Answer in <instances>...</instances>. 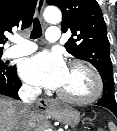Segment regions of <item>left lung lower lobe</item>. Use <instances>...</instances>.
Returning a JSON list of instances; mask_svg holds the SVG:
<instances>
[{"label": "left lung lower lobe", "instance_id": "0a47b994", "mask_svg": "<svg viewBox=\"0 0 117 131\" xmlns=\"http://www.w3.org/2000/svg\"><path fill=\"white\" fill-rule=\"evenodd\" d=\"M105 95H108V91H104L103 90V96H102V98L100 99V101L96 105L103 106V107L111 110L115 114V116L117 117V107L110 106V105H108V104H106V103H104L102 101Z\"/></svg>", "mask_w": 117, "mask_h": 131}]
</instances>
